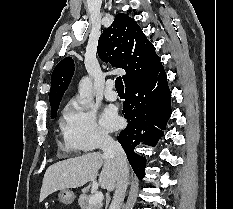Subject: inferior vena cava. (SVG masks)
Segmentation results:
<instances>
[{"label":"inferior vena cava","mask_w":233,"mask_h":209,"mask_svg":"<svg viewBox=\"0 0 233 209\" xmlns=\"http://www.w3.org/2000/svg\"><path fill=\"white\" fill-rule=\"evenodd\" d=\"M100 147L103 150V155L105 157L114 160L118 172L117 187L114 191L113 200L109 209H120L126 194L129 180V169L126 154L122 146L109 136H103L101 138Z\"/></svg>","instance_id":"1"}]
</instances>
